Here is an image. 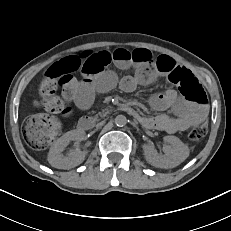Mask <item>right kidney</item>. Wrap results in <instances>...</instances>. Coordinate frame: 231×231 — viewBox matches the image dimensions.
I'll return each mask as SVG.
<instances>
[{"mask_svg":"<svg viewBox=\"0 0 231 231\" xmlns=\"http://www.w3.org/2000/svg\"><path fill=\"white\" fill-rule=\"evenodd\" d=\"M84 137V131L71 130L57 139L48 153L50 165L58 169H69L81 164L85 159V152L80 149L71 150L66 155L62 152L71 141L83 140Z\"/></svg>","mask_w":231,"mask_h":231,"instance_id":"right-kidney-1","label":"right kidney"}]
</instances>
